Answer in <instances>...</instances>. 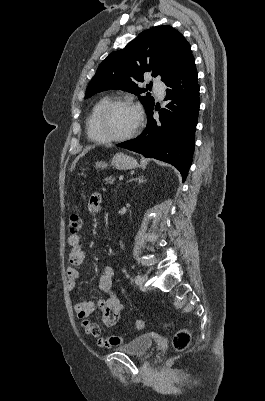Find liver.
Segmentation results:
<instances>
[{"instance_id":"liver-1","label":"liver","mask_w":265,"mask_h":401,"mask_svg":"<svg viewBox=\"0 0 265 401\" xmlns=\"http://www.w3.org/2000/svg\"><path fill=\"white\" fill-rule=\"evenodd\" d=\"M90 148H95V144H90V146H85V148H83L82 152H80V154H78V156H76L75 160H73V162L71 164V170H72V168H75L76 162H78L79 158H81V156H84V154H86V152H88V150H90Z\"/></svg>"}]
</instances>
